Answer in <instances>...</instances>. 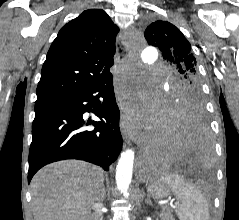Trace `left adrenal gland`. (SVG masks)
<instances>
[{"instance_id": "obj_1", "label": "left adrenal gland", "mask_w": 239, "mask_h": 220, "mask_svg": "<svg viewBox=\"0 0 239 220\" xmlns=\"http://www.w3.org/2000/svg\"><path fill=\"white\" fill-rule=\"evenodd\" d=\"M146 205H152V202L149 197L145 200Z\"/></svg>"}]
</instances>
